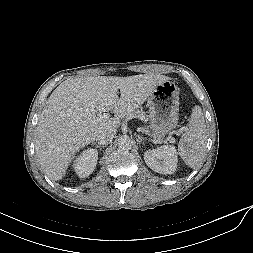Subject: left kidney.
I'll return each instance as SVG.
<instances>
[{"label":"left kidney","mask_w":253,"mask_h":253,"mask_svg":"<svg viewBox=\"0 0 253 253\" xmlns=\"http://www.w3.org/2000/svg\"><path fill=\"white\" fill-rule=\"evenodd\" d=\"M149 168L160 174H172L176 171L178 158L174 146L164 145L144 153Z\"/></svg>","instance_id":"obj_1"}]
</instances>
